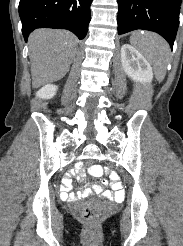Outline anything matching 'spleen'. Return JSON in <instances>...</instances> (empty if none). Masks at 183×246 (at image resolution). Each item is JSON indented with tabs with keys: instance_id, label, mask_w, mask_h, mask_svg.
<instances>
[{
	"instance_id": "1",
	"label": "spleen",
	"mask_w": 183,
	"mask_h": 246,
	"mask_svg": "<svg viewBox=\"0 0 183 246\" xmlns=\"http://www.w3.org/2000/svg\"><path fill=\"white\" fill-rule=\"evenodd\" d=\"M130 43L153 65L156 79L163 81L170 55L168 43L160 35L144 31L133 32Z\"/></svg>"
}]
</instances>
